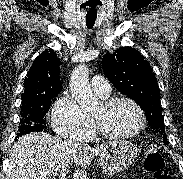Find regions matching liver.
Returning a JSON list of instances; mask_svg holds the SVG:
<instances>
[{"mask_svg": "<svg viewBox=\"0 0 183 179\" xmlns=\"http://www.w3.org/2000/svg\"><path fill=\"white\" fill-rule=\"evenodd\" d=\"M108 144L71 149L66 142L47 133L24 135L13 146L5 179H55L58 172L73 164V178L88 179L87 166Z\"/></svg>", "mask_w": 183, "mask_h": 179, "instance_id": "obj_1", "label": "liver"}]
</instances>
